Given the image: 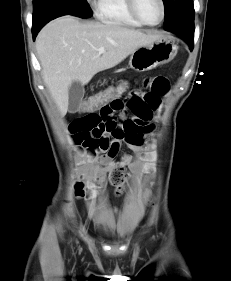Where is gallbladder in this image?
<instances>
[{
    "instance_id": "obj_1",
    "label": "gallbladder",
    "mask_w": 231,
    "mask_h": 281,
    "mask_svg": "<svg viewBox=\"0 0 231 281\" xmlns=\"http://www.w3.org/2000/svg\"><path fill=\"white\" fill-rule=\"evenodd\" d=\"M69 111L71 113L77 112L84 96V87L79 81H73L69 86Z\"/></svg>"
}]
</instances>
